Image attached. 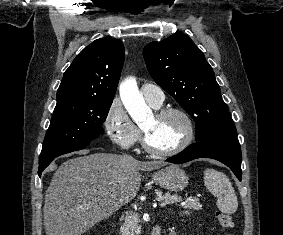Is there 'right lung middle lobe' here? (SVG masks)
<instances>
[{
    "label": "right lung middle lobe",
    "instance_id": "1",
    "mask_svg": "<svg viewBox=\"0 0 283 235\" xmlns=\"http://www.w3.org/2000/svg\"><path fill=\"white\" fill-rule=\"evenodd\" d=\"M111 104L112 99L85 97L57 102L39 162L69 146L99 138Z\"/></svg>",
    "mask_w": 283,
    "mask_h": 235
}]
</instances>
